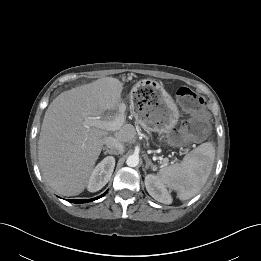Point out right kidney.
<instances>
[{"label": "right kidney", "mask_w": 261, "mask_h": 261, "mask_svg": "<svg viewBox=\"0 0 261 261\" xmlns=\"http://www.w3.org/2000/svg\"><path fill=\"white\" fill-rule=\"evenodd\" d=\"M115 167V158L108 156L104 158L92 171L88 181L89 192H97L102 189L110 180Z\"/></svg>", "instance_id": "right-kidney-1"}]
</instances>
